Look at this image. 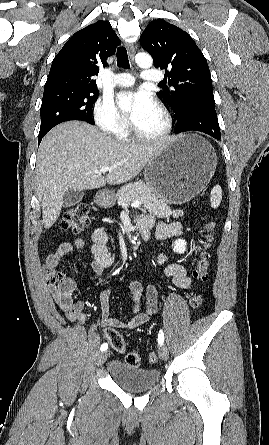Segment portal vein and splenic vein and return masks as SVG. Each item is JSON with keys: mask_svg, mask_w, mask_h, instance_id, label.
Here are the masks:
<instances>
[{"mask_svg": "<svg viewBox=\"0 0 269 445\" xmlns=\"http://www.w3.org/2000/svg\"><path fill=\"white\" fill-rule=\"evenodd\" d=\"M110 170V167H108V166H103V167H101V169H100V172L101 173H106V172H108ZM142 204V201H140V200H136V201H134L132 204H131V207H138L139 205H141Z\"/></svg>", "mask_w": 269, "mask_h": 445, "instance_id": "1", "label": "portal vein and splenic vein"}]
</instances>
